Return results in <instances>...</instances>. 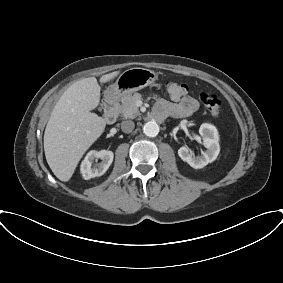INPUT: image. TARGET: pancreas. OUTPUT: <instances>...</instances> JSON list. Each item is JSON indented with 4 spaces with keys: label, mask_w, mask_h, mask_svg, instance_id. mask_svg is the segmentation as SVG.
Listing matches in <instances>:
<instances>
[{
    "label": "pancreas",
    "mask_w": 283,
    "mask_h": 283,
    "mask_svg": "<svg viewBox=\"0 0 283 283\" xmlns=\"http://www.w3.org/2000/svg\"><path fill=\"white\" fill-rule=\"evenodd\" d=\"M142 99V95L140 93H134L125 95L121 104H117L115 109L118 113H120L124 118H135L140 115L139 109L136 106V102Z\"/></svg>",
    "instance_id": "1"
}]
</instances>
